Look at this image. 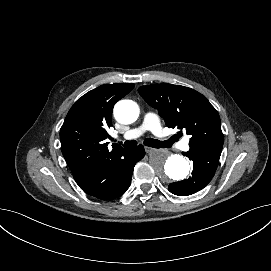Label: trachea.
<instances>
[{"label":"trachea","mask_w":271,"mask_h":271,"mask_svg":"<svg viewBox=\"0 0 271 271\" xmlns=\"http://www.w3.org/2000/svg\"><path fill=\"white\" fill-rule=\"evenodd\" d=\"M121 144V143H120ZM144 144L148 147H153V148H169L171 146V141H159L157 139H152V138H147L144 141ZM137 145V141L132 140V141H125L123 146L125 148H133Z\"/></svg>","instance_id":"1"}]
</instances>
